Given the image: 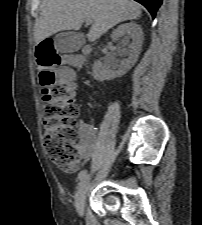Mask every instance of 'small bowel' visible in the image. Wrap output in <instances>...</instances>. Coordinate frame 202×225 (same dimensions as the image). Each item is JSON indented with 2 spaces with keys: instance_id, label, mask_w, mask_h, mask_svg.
Listing matches in <instances>:
<instances>
[{
  "instance_id": "1",
  "label": "small bowel",
  "mask_w": 202,
  "mask_h": 225,
  "mask_svg": "<svg viewBox=\"0 0 202 225\" xmlns=\"http://www.w3.org/2000/svg\"><path fill=\"white\" fill-rule=\"evenodd\" d=\"M65 70H61V73H65ZM73 89L76 88L74 82L70 81ZM79 128L81 130L80 140H79V156L82 160H87L91 157L93 151L99 144V139L96 135L95 128L87 121H81L79 123Z\"/></svg>"
}]
</instances>
